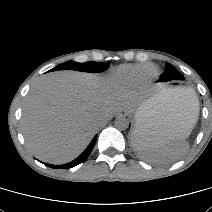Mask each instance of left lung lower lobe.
Instances as JSON below:
<instances>
[{
	"mask_svg": "<svg viewBox=\"0 0 212 212\" xmlns=\"http://www.w3.org/2000/svg\"><path fill=\"white\" fill-rule=\"evenodd\" d=\"M133 144H134L135 149L138 151V153H139L143 158L149 160L148 150H143V149H141L137 139H135V138L133 139Z\"/></svg>",
	"mask_w": 212,
	"mask_h": 212,
	"instance_id": "obj_1",
	"label": "left lung lower lobe"
}]
</instances>
